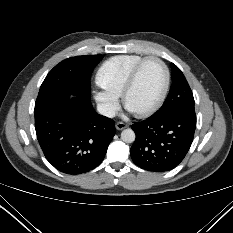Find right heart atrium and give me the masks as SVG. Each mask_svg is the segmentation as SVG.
<instances>
[{
	"instance_id": "d8ad5b80",
	"label": "right heart atrium",
	"mask_w": 233,
	"mask_h": 233,
	"mask_svg": "<svg viewBox=\"0 0 233 233\" xmlns=\"http://www.w3.org/2000/svg\"><path fill=\"white\" fill-rule=\"evenodd\" d=\"M94 98L106 116H113L119 108V96L105 89L94 92Z\"/></svg>"
}]
</instances>
